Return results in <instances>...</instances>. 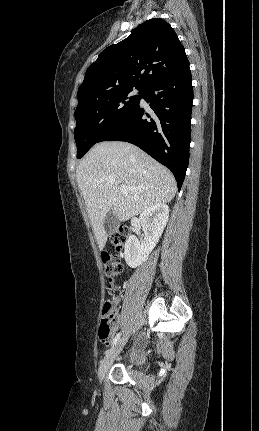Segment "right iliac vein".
<instances>
[{
	"mask_svg": "<svg viewBox=\"0 0 259 431\" xmlns=\"http://www.w3.org/2000/svg\"><path fill=\"white\" fill-rule=\"evenodd\" d=\"M126 341H127V338H123L119 342H117L115 344V346H113L108 351V353L106 354V356L102 360V362H101V364L99 366V370H98V378H99L100 381H102L104 379L105 374L107 373L109 367L112 365V363L114 362V360L116 359V357L121 352V350L124 347Z\"/></svg>",
	"mask_w": 259,
	"mask_h": 431,
	"instance_id": "obj_1",
	"label": "right iliac vein"
}]
</instances>
